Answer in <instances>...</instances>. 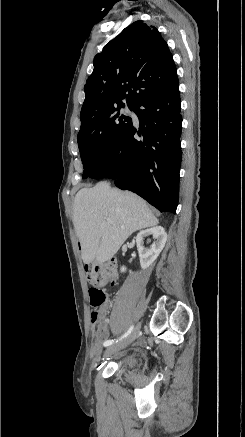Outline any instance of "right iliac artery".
<instances>
[{
	"mask_svg": "<svg viewBox=\"0 0 245 437\" xmlns=\"http://www.w3.org/2000/svg\"><path fill=\"white\" fill-rule=\"evenodd\" d=\"M132 330H133V326H131V327L129 328V330H128L125 334H123L119 339H117V340H107V341H105V342L103 343V345H104L105 347H108V346L114 344L115 342L117 343L118 341L123 340L124 338H126V337L131 333Z\"/></svg>",
	"mask_w": 245,
	"mask_h": 437,
	"instance_id": "obj_1",
	"label": "right iliac artery"
}]
</instances>
